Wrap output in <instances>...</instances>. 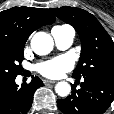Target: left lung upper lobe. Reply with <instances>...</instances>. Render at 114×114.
Returning <instances> with one entry per match:
<instances>
[{"instance_id": "left-lung-upper-lobe-1", "label": "left lung upper lobe", "mask_w": 114, "mask_h": 114, "mask_svg": "<svg viewBox=\"0 0 114 114\" xmlns=\"http://www.w3.org/2000/svg\"><path fill=\"white\" fill-rule=\"evenodd\" d=\"M50 11L62 21L71 24L79 33L81 55L72 76L114 79V42L99 21L80 8L64 6Z\"/></svg>"}]
</instances>
